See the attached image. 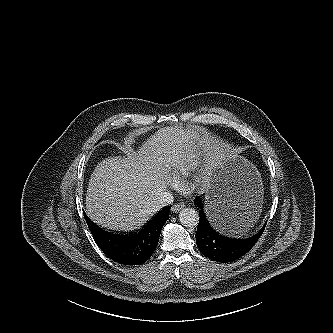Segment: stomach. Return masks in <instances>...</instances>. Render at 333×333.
<instances>
[{"label": "stomach", "instance_id": "1", "mask_svg": "<svg viewBox=\"0 0 333 333\" xmlns=\"http://www.w3.org/2000/svg\"><path fill=\"white\" fill-rule=\"evenodd\" d=\"M205 204L206 221L215 232L240 236L253 228L263 204V184L257 168L228 149H216Z\"/></svg>", "mask_w": 333, "mask_h": 333}]
</instances>
